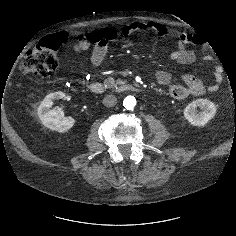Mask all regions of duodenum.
<instances>
[{
    "label": "duodenum",
    "instance_id": "1",
    "mask_svg": "<svg viewBox=\"0 0 236 236\" xmlns=\"http://www.w3.org/2000/svg\"><path fill=\"white\" fill-rule=\"evenodd\" d=\"M88 90L94 94H102L105 92V86L100 82H92L88 85ZM118 92H136L138 88L129 83L121 84L117 87Z\"/></svg>",
    "mask_w": 236,
    "mask_h": 236
}]
</instances>
